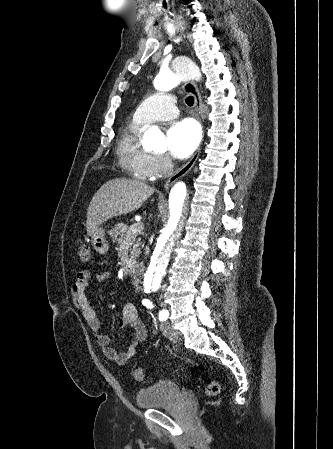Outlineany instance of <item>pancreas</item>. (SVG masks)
<instances>
[{"instance_id":"obj_1","label":"pancreas","mask_w":333,"mask_h":449,"mask_svg":"<svg viewBox=\"0 0 333 449\" xmlns=\"http://www.w3.org/2000/svg\"><path fill=\"white\" fill-rule=\"evenodd\" d=\"M131 226H128L123 223H117L112 228V237L114 242H118V244H127L130 250V262H136V259L140 255V249L137 247L140 244V238L138 237L141 234V230L137 232H132L130 230Z\"/></svg>"}]
</instances>
